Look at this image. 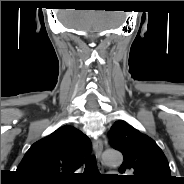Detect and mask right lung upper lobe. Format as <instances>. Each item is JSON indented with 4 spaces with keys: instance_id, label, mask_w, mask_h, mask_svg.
I'll list each match as a JSON object with an SVG mask.
<instances>
[{
    "instance_id": "1",
    "label": "right lung upper lobe",
    "mask_w": 184,
    "mask_h": 184,
    "mask_svg": "<svg viewBox=\"0 0 184 184\" xmlns=\"http://www.w3.org/2000/svg\"><path fill=\"white\" fill-rule=\"evenodd\" d=\"M91 147L90 139L80 130L64 125L35 142L16 171L29 182L68 183Z\"/></svg>"
}]
</instances>
